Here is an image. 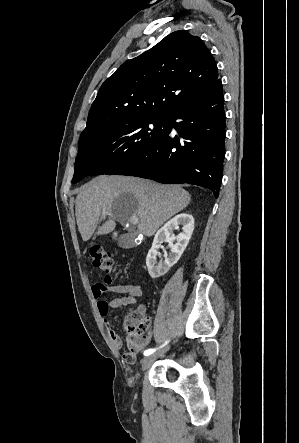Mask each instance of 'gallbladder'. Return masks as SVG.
Wrapping results in <instances>:
<instances>
[{"label": "gallbladder", "mask_w": 299, "mask_h": 443, "mask_svg": "<svg viewBox=\"0 0 299 443\" xmlns=\"http://www.w3.org/2000/svg\"><path fill=\"white\" fill-rule=\"evenodd\" d=\"M131 242H132L131 234H123L118 239V244L122 248H128L131 245Z\"/></svg>", "instance_id": "gallbladder-1"}]
</instances>
